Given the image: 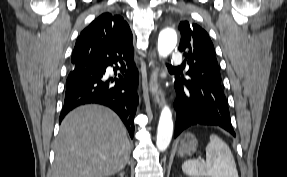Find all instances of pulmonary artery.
I'll list each match as a JSON object with an SVG mask.
<instances>
[{
  "instance_id": "obj_1",
  "label": "pulmonary artery",
  "mask_w": 287,
  "mask_h": 177,
  "mask_svg": "<svg viewBox=\"0 0 287 177\" xmlns=\"http://www.w3.org/2000/svg\"><path fill=\"white\" fill-rule=\"evenodd\" d=\"M181 64H182V55L179 51L176 50L171 58V66L177 67L180 66Z\"/></svg>"
}]
</instances>
